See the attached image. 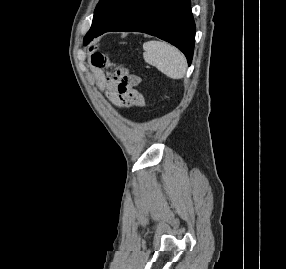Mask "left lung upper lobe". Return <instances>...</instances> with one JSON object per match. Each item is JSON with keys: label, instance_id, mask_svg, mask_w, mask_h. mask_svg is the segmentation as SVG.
Returning <instances> with one entry per match:
<instances>
[{"label": "left lung upper lobe", "instance_id": "obj_1", "mask_svg": "<svg viewBox=\"0 0 286 269\" xmlns=\"http://www.w3.org/2000/svg\"><path fill=\"white\" fill-rule=\"evenodd\" d=\"M143 0H100L94 11L92 26L84 38L87 45L102 29L112 26Z\"/></svg>", "mask_w": 286, "mask_h": 269}]
</instances>
